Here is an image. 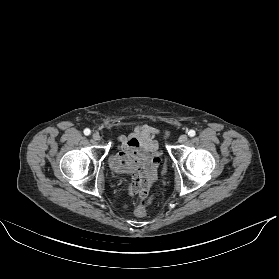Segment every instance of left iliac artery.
<instances>
[{"label": "left iliac artery", "mask_w": 279, "mask_h": 279, "mask_svg": "<svg viewBox=\"0 0 279 279\" xmlns=\"http://www.w3.org/2000/svg\"><path fill=\"white\" fill-rule=\"evenodd\" d=\"M195 134H196V132H195L194 130H190V131L188 132V135H189L190 137H194Z\"/></svg>", "instance_id": "44dca946"}]
</instances>
